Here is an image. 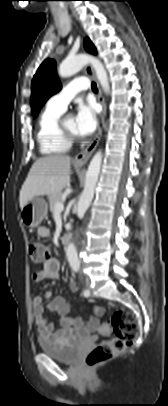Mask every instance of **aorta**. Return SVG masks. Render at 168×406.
I'll return each instance as SVG.
<instances>
[{
  "label": "aorta",
  "mask_w": 168,
  "mask_h": 406,
  "mask_svg": "<svg viewBox=\"0 0 168 406\" xmlns=\"http://www.w3.org/2000/svg\"><path fill=\"white\" fill-rule=\"evenodd\" d=\"M88 63L92 64L96 73V77L105 93H109L107 72L101 61L95 57L85 54L69 56L60 64L58 73L60 77L67 78L79 72ZM101 162L102 152L98 151L90 161L88 170L86 172L85 187L82 194L80 195L77 205L78 215H83L87 211L94 197L95 187L100 173ZM66 256L71 268L73 270H78L80 267V261L78 259L76 247L73 243H70L67 246Z\"/></svg>",
  "instance_id": "1"
}]
</instances>
